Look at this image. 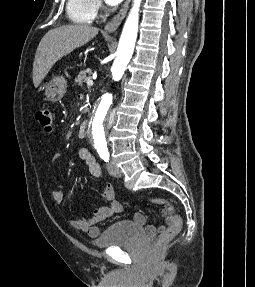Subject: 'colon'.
Listing matches in <instances>:
<instances>
[{"mask_svg": "<svg viewBox=\"0 0 255 287\" xmlns=\"http://www.w3.org/2000/svg\"><path fill=\"white\" fill-rule=\"evenodd\" d=\"M36 119L40 123V125L43 127V129L47 132H52L54 129V115L52 110L49 107H43L39 109L36 113ZM153 202L168 205L167 202L160 200V199H154ZM182 226V218L179 214L176 212L172 213V221L169 225V227L160 235V237L157 240L158 246H163L167 242L171 241L180 231Z\"/></svg>", "mask_w": 255, "mask_h": 287, "instance_id": "obj_1", "label": "colon"}]
</instances>
